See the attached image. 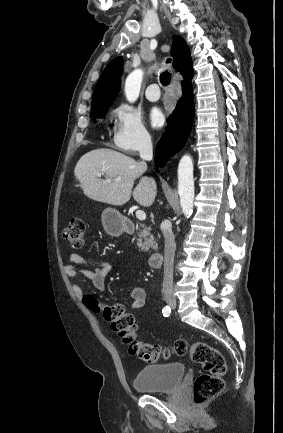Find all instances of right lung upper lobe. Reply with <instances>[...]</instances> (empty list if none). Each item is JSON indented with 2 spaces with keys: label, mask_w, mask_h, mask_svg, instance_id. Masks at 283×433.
<instances>
[{
  "label": "right lung upper lobe",
  "mask_w": 283,
  "mask_h": 433,
  "mask_svg": "<svg viewBox=\"0 0 283 433\" xmlns=\"http://www.w3.org/2000/svg\"><path fill=\"white\" fill-rule=\"evenodd\" d=\"M171 56L173 68L184 75V79L193 76L192 61L189 48L180 36H174ZM123 60L117 57L105 68L93 94L91 112L110 106L120 90Z\"/></svg>",
  "instance_id": "right-lung-upper-lobe-1"
}]
</instances>
